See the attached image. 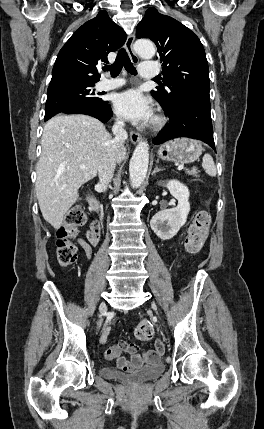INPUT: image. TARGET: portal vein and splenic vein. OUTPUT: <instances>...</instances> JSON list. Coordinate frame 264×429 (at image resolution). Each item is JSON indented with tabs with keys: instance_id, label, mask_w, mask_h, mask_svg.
<instances>
[{
	"instance_id": "18ae733b",
	"label": "portal vein and splenic vein",
	"mask_w": 264,
	"mask_h": 429,
	"mask_svg": "<svg viewBox=\"0 0 264 429\" xmlns=\"http://www.w3.org/2000/svg\"><path fill=\"white\" fill-rule=\"evenodd\" d=\"M82 169H85V166L81 165ZM184 168V165H179L178 166V170H182Z\"/></svg>"
}]
</instances>
